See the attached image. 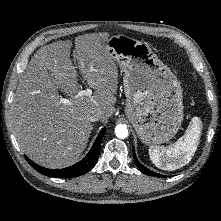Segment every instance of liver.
Masks as SVG:
<instances>
[{
    "instance_id": "6515ba94",
    "label": "liver",
    "mask_w": 221,
    "mask_h": 221,
    "mask_svg": "<svg viewBox=\"0 0 221 221\" xmlns=\"http://www.w3.org/2000/svg\"><path fill=\"white\" fill-rule=\"evenodd\" d=\"M109 33H91L75 38L76 60L83 79L95 90L77 97V73L70 58L72 42L57 41L40 48L21 74L13 97L12 131L21 150L47 168L74 164L85 150L93 125L91 111L105 122L118 88V70L109 53ZM59 90L70 96L60 102Z\"/></svg>"
}]
</instances>
